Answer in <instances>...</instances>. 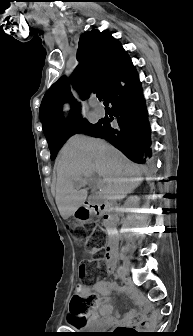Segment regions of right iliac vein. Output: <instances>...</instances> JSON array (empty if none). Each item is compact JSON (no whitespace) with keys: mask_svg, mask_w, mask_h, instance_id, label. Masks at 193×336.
Wrapping results in <instances>:
<instances>
[{"mask_svg":"<svg viewBox=\"0 0 193 336\" xmlns=\"http://www.w3.org/2000/svg\"><path fill=\"white\" fill-rule=\"evenodd\" d=\"M129 271H130L129 259L127 257H124L123 258V266H122V270H121V277H124V276L128 275Z\"/></svg>","mask_w":193,"mask_h":336,"instance_id":"right-iliac-vein-1","label":"right iliac vein"}]
</instances>
